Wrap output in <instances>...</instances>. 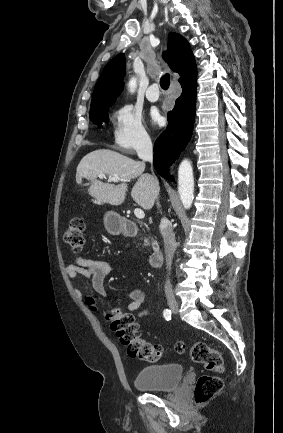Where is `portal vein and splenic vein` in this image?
Returning a JSON list of instances; mask_svg holds the SVG:
<instances>
[{"label": "portal vein and splenic vein", "instance_id": "obj_1", "mask_svg": "<svg viewBox=\"0 0 283 433\" xmlns=\"http://www.w3.org/2000/svg\"><path fill=\"white\" fill-rule=\"evenodd\" d=\"M99 178H105V174H98ZM108 180L110 182H119V180H122L120 176H108ZM134 214L137 219H144L145 212L144 210H141V208H134Z\"/></svg>", "mask_w": 283, "mask_h": 433}]
</instances>
